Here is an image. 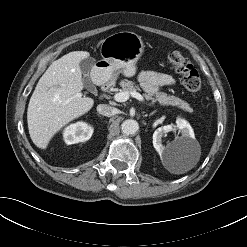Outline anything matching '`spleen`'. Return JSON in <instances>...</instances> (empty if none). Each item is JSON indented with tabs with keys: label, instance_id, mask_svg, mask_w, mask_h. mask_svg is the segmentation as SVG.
Returning <instances> with one entry per match:
<instances>
[{
	"label": "spleen",
	"instance_id": "3e777b00",
	"mask_svg": "<svg viewBox=\"0 0 247 247\" xmlns=\"http://www.w3.org/2000/svg\"><path fill=\"white\" fill-rule=\"evenodd\" d=\"M187 170H189V168L178 170V171H176V173L181 174V173L186 172Z\"/></svg>",
	"mask_w": 247,
	"mask_h": 247
}]
</instances>
